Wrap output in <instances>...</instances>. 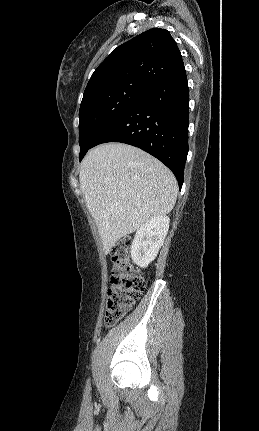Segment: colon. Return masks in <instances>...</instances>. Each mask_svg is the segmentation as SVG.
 I'll use <instances>...</instances> for the list:
<instances>
[{"label":"colon","instance_id":"colon-1","mask_svg":"<svg viewBox=\"0 0 259 431\" xmlns=\"http://www.w3.org/2000/svg\"><path fill=\"white\" fill-rule=\"evenodd\" d=\"M131 245L129 238H123L110 252L112 270L104 314L107 327L116 324L131 309L146 286L144 277L131 263Z\"/></svg>","mask_w":259,"mask_h":431}]
</instances>
